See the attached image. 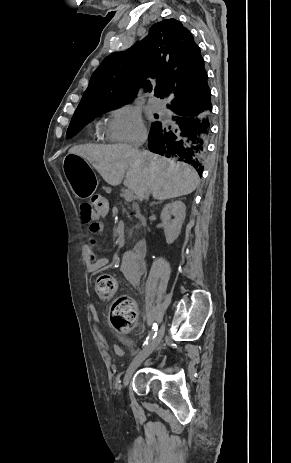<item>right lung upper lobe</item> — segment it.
Returning a JSON list of instances; mask_svg holds the SVG:
<instances>
[{
    "label": "right lung upper lobe",
    "instance_id": "obj_1",
    "mask_svg": "<svg viewBox=\"0 0 291 463\" xmlns=\"http://www.w3.org/2000/svg\"><path fill=\"white\" fill-rule=\"evenodd\" d=\"M205 74L204 60L191 32L178 20L165 19L128 50L103 60L77 109L131 102L140 81L145 91H151L155 84V93H167L171 104L191 103L202 96Z\"/></svg>",
    "mask_w": 291,
    "mask_h": 463
}]
</instances>
